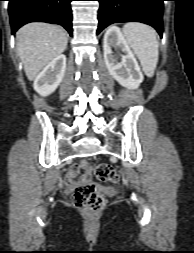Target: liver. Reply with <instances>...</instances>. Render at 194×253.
Here are the masks:
<instances>
[{
	"label": "liver",
	"mask_w": 194,
	"mask_h": 253,
	"mask_svg": "<svg viewBox=\"0 0 194 253\" xmlns=\"http://www.w3.org/2000/svg\"><path fill=\"white\" fill-rule=\"evenodd\" d=\"M17 52L29 80H34L40 71L67 47V34L57 25L29 23L17 32Z\"/></svg>",
	"instance_id": "1"
}]
</instances>
